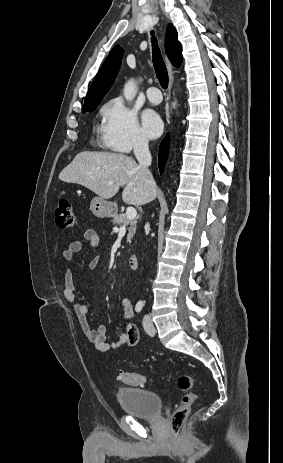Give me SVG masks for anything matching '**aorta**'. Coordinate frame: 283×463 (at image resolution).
I'll return each instance as SVG.
<instances>
[{
	"instance_id": "762f6f07",
	"label": "aorta",
	"mask_w": 283,
	"mask_h": 463,
	"mask_svg": "<svg viewBox=\"0 0 283 463\" xmlns=\"http://www.w3.org/2000/svg\"><path fill=\"white\" fill-rule=\"evenodd\" d=\"M136 93H137V87H136L135 81L133 79H130L124 86V89H123L124 97L128 102H131L135 98Z\"/></svg>"
}]
</instances>
